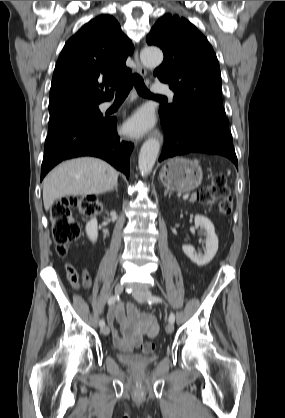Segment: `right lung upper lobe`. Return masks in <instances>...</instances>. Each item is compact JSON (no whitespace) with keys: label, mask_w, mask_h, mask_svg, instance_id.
I'll list each match as a JSON object with an SVG mask.
<instances>
[{"label":"right lung upper lobe","mask_w":285,"mask_h":418,"mask_svg":"<svg viewBox=\"0 0 285 418\" xmlns=\"http://www.w3.org/2000/svg\"><path fill=\"white\" fill-rule=\"evenodd\" d=\"M133 50L132 42L110 15L97 16L82 26L66 42L58 58L49 107L77 101L100 104L110 100L114 92L108 85L131 73L125 62ZM104 85L105 92L102 91Z\"/></svg>","instance_id":"obj_1"}]
</instances>
